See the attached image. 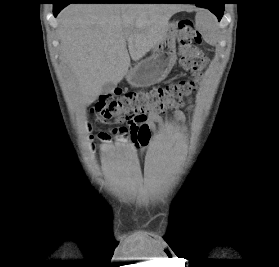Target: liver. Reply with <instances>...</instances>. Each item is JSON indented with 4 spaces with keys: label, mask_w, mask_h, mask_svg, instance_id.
<instances>
[{
    "label": "liver",
    "mask_w": 279,
    "mask_h": 267,
    "mask_svg": "<svg viewBox=\"0 0 279 267\" xmlns=\"http://www.w3.org/2000/svg\"><path fill=\"white\" fill-rule=\"evenodd\" d=\"M171 4H72L59 15L61 58L73 72L81 102L87 106L107 82L118 84L134 61L164 37Z\"/></svg>",
    "instance_id": "obj_1"
}]
</instances>
